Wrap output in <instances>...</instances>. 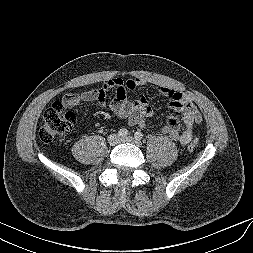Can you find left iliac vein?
Wrapping results in <instances>:
<instances>
[{"instance_id":"1","label":"left iliac vein","mask_w":253,"mask_h":253,"mask_svg":"<svg viewBox=\"0 0 253 253\" xmlns=\"http://www.w3.org/2000/svg\"><path fill=\"white\" fill-rule=\"evenodd\" d=\"M121 141L122 142H130V143H133L137 146H140L141 145V142L139 140H136L134 137L132 136H127V137H123L121 138Z\"/></svg>"}]
</instances>
